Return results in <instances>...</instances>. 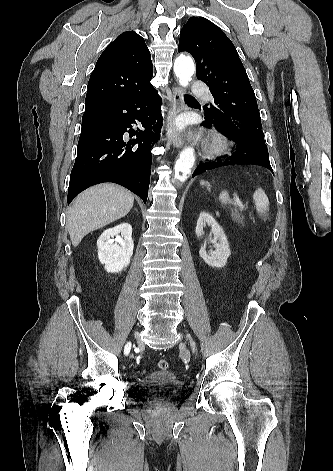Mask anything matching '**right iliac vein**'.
<instances>
[{
	"instance_id": "1",
	"label": "right iliac vein",
	"mask_w": 333,
	"mask_h": 471,
	"mask_svg": "<svg viewBox=\"0 0 333 471\" xmlns=\"http://www.w3.org/2000/svg\"><path fill=\"white\" fill-rule=\"evenodd\" d=\"M135 336H136V339L138 340V339H139V335H138V334H136Z\"/></svg>"
}]
</instances>
